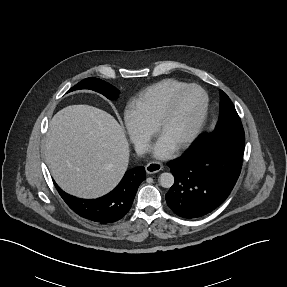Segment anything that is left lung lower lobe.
Wrapping results in <instances>:
<instances>
[{
	"label": "left lung lower lobe",
	"instance_id": "left-lung-lower-lobe-1",
	"mask_svg": "<svg viewBox=\"0 0 287 287\" xmlns=\"http://www.w3.org/2000/svg\"><path fill=\"white\" fill-rule=\"evenodd\" d=\"M245 140L199 136L178 159L170 161L173 186L166 194L172 211L187 219L202 217L229 196L241 172Z\"/></svg>",
	"mask_w": 287,
	"mask_h": 287
}]
</instances>
